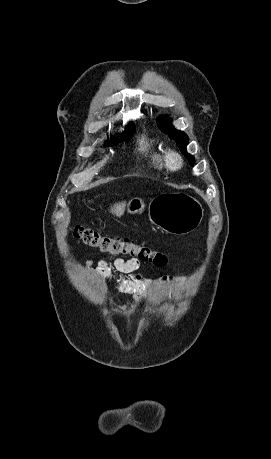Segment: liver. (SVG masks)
<instances>
[{"label": "liver", "instance_id": "obj_1", "mask_svg": "<svg viewBox=\"0 0 271 459\" xmlns=\"http://www.w3.org/2000/svg\"><path fill=\"white\" fill-rule=\"evenodd\" d=\"M125 206H126L125 202H120V204H115V206L111 208L112 214H115L117 218H121V216H123L124 214Z\"/></svg>", "mask_w": 271, "mask_h": 459}]
</instances>
